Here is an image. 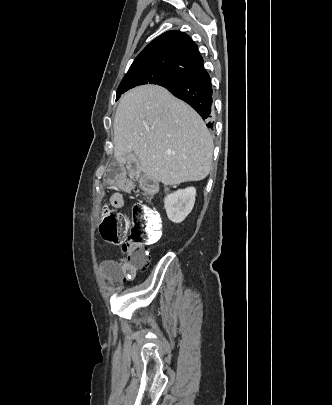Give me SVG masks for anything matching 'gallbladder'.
I'll return each mask as SVG.
<instances>
[{"instance_id": "bac80fb5", "label": "gallbladder", "mask_w": 332, "mask_h": 405, "mask_svg": "<svg viewBox=\"0 0 332 405\" xmlns=\"http://www.w3.org/2000/svg\"><path fill=\"white\" fill-rule=\"evenodd\" d=\"M127 158H132L134 161H138V159H137V157L136 156H134L133 154H127V156H126Z\"/></svg>"}]
</instances>
